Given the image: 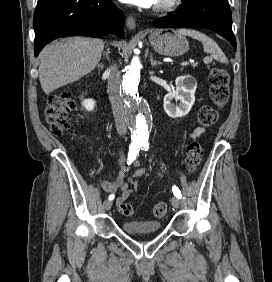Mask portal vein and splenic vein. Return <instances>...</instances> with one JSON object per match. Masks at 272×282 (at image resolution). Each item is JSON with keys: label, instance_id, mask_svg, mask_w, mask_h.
<instances>
[{"label": "portal vein and splenic vein", "instance_id": "obj_1", "mask_svg": "<svg viewBox=\"0 0 272 282\" xmlns=\"http://www.w3.org/2000/svg\"><path fill=\"white\" fill-rule=\"evenodd\" d=\"M188 64H189L188 61H184V62H182L180 65H181V66H186V65H188Z\"/></svg>", "mask_w": 272, "mask_h": 282}]
</instances>
